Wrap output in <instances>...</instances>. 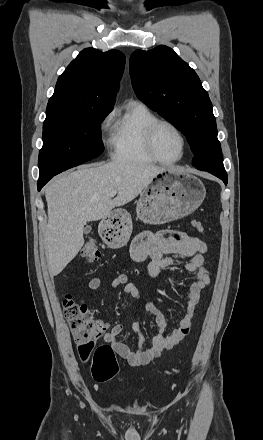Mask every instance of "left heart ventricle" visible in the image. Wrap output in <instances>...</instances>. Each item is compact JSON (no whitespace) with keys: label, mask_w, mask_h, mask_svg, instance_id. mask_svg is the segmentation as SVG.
Instances as JSON below:
<instances>
[{"label":"left heart ventricle","mask_w":263,"mask_h":440,"mask_svg":"<svg viewBox=\"0 0 263 440\" xmlns=\"http://www.w3.org/2000/svg\"><path fill=\"white\" fill-rule=\"evenodd\" d=\"M155 151L164 160H174L181 155L182 142L178 134L168 126L158 128L154 139Z\"/></svg>","instance_id":"obj_1"}]
</instances>
